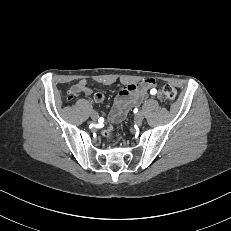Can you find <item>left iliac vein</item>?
Masks as SVG:
<instances>
[{"instance_id":"obj_1","label":"left iliac vein","mask_w":231,"mask_h":231,"mask_svg":"<svg viewBox=\"0 0 231 231\" xmlns=\"http://www.w3.org/2000/svg\"><path fill=\"white\" fill-rule=\"evenodd\" d=\"M144 119V114L143 112H138L136 115H135V120L138 124L142 123Z\"/></svg>"}]
</instances>
